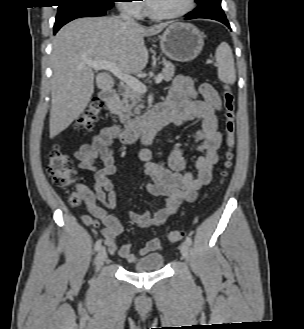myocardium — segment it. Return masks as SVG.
I'll use <instances>...</instances> for the list:
<instances>
[{"label":"myocardium","mask_w":304,"mask_h":329,"mask_svg":"<svg viewBox=\"0 0 304 329\" xmlns=\"http://www.w3.org/2000/svg\"><path fill=\"white\" fill-rule=\"evenodd\" d=\"M195 7V0H187L186 6L181 9L180 11L174 12V13H166V14H159L155 13L149 6L148 1H146V14L155 20H161V21H166V20H174L181 18L188 13H190Z\"/></svg>","instance_id":"obj_1"}]
</instances>
